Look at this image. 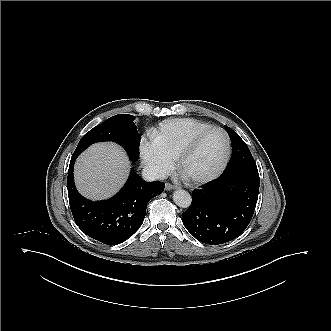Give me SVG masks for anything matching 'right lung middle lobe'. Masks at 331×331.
Returning <instances> with one entry per match:
<instances>
[{
    "label": "right lung middle lobe",
    "instance_id": "dd1d6c3e",
    "mask_svg": "<svg viewBox=\"0 0 331 331\" xmlns=\"http://www.w3.org/2000/svg\"><path fill=\"white\" fill-rule=\"evenodd\" d=\"M134 116L119 114L91 129L80 140L73 154L79 155L95 142L114 141L120 144L132 161L139 157L140 134L135 128Z\"/></svg>",
    "mask_w": 331,
    "mask_h": 331
}]
</instances>
